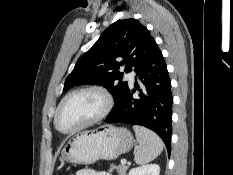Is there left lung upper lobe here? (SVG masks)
Returning <instances> with one entry per match:
<instances>
[{
	"mask_svg": "<svg viewBox=\"0 0 233 175\" xmlns=\"http://www.w3.org/2000/svg\"><path fill=\"white\" fill-rule=\"evenodd\" d=\"M156 45L149 30L136 19L118 20L77 61L65 80L64 90L81 84L103 85L114 97L113 112L129 89L119 68L124 66L128 73L135 67L137 72ZM119 58L123 60L119 62Z\"/></svg>",
	"mask_w": 233,
	"mask_h": 175,
	"instance_id": "obj_1",
	"label": "left lung upper lobe"
}]
</instances>
